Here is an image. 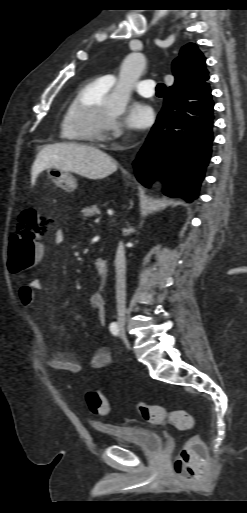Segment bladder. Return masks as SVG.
<instances>
[{"label": "bladder", "mask_w": 247, "mask_h": 513, "mask_svg": "<svg viewBox=\"0 0 247 513\" xmlns=\"http://www.w3.org/2000/svg\"><path fill=\"white\" fill-rule=\"evenodd\" d=\"M97 430L110 435L115 444L136 447L144 453L158 452L163 448L160 434L145 427L99 424Z\"/></svg>", "instance_id": "1"}]
</instances>
